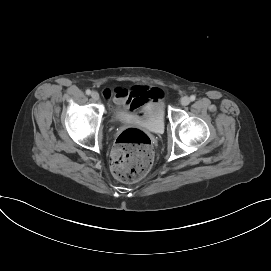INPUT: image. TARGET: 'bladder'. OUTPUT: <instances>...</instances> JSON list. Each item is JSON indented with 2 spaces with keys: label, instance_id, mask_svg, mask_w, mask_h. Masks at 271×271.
Wrapping results in <instances>:
<instances>
[{
  "label": "bladder",
  "instance_id": "bladder-1",
  "mask_svg": "<svg viewBox=\"0 0 271 271\" xmlns=\"http://www.w3.org/2000/svg\"><path fill=\"white\" fill-rule=\"evenodd\" d=\"M119 122L140 121L147 129L159 133L165 126L164 108L161 102L145 105L142 113L128 112L120 109L116 112Z\"/></svg>",
  "mask_w": 271,
  "mask_h": 271
}]
</instances>
